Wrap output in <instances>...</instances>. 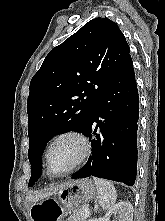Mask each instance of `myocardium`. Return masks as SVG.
<instances>
[{
    "label": "myocardium",
    "instance_id": "f54148a6",
    "mask_svg": "<svg viewBox=\"0 0 165 221\" xmlns=\"http://www.w3.org/2000/svg\"><path fill=\"white\" fill-rule=\"evenodd\" d=\"M66 137H72L78 140V142L81 145V153L77 161L74 163L73 166H71L69 169L62 171V172H55L51 169L49 164V152L52 148V146L59 140L66 138ZM91 152V143L88 139V137L81 131L76 129H68L65 131H62L58 133L56 136H54L51 141L48 143L45 153H44V160H45V166L47 169V172L52 176H65L68 175L77 169H79L82 164L87 160Z\"/></svg>",
    "mask_w": 165,
    "mask_h": 221
}]
</instances>
